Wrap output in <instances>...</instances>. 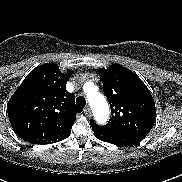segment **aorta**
Masks as SVG:
<instances>
[{
  "label": "aorta",
  "instance_id": "obj_1",
  "mask_svg": "<svg viewBox=\"0 0 182 182\" xmlns=\"http://www.w3.org/2000/svg\"><path fill=\"white\" fill-rule=\"evenodd\" d=\"M87 98L97 123L105 124L109 117V106L105 97L92 87L87 92Z\"/></svg>",
  "mask_w": 182,
  "mask_h": 182
}]
</instances>
